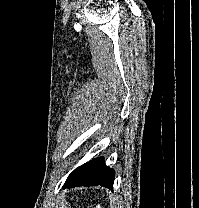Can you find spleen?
<instances>
[{
  "mask_svg": "<svg viewBox=\"0 0 199 208\" xmlns=\"http://www.w3.org/2000/svg\"><path fill=\"white\" fill-rule=\"evenodd\" d=\"M96 208H101V206L100 205H97V207Z\"/></svg>",
  "mask_w": 199,
  "mask_h": 208,
  "instance_id": "1",
  "label": "spleen"
}]
</instances>
